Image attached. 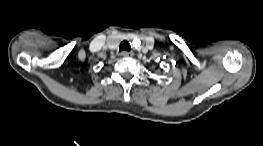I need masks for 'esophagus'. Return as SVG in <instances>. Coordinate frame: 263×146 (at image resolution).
I'll list each match as a JSON object with an SVG mask.
<instances>
[{
	"label": "esophagus",
	"instance_id": "obj_1",
	"mask_svg": "<svg viewBox=\"0 0 263 146\" xmlns=\"http://www.w3.org/2000/svg\"><path fill=\"white\" fill-rule=\"evenodd\" d=\"M130 55H131V53L128 52V51H122V52H121V56H122V57H128V56H130Z\"/></svg>",
	"mask_w": 263,
	"mask_h": 146
}]
</instances>
